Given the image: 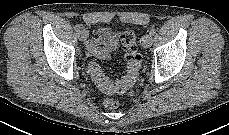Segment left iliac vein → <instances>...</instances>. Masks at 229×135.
Listing matches in <instances>:
<instances>
[{
  "label": "left iliac vein",
  "mask_w": 229,
  "mask_h": 135,
  "mask_svg": "<svg viewBox=\"0 0 229 135\" xmlns=\"http://www.w3.org/2000/svg\"><path fill=\"white\" fill-rule=\"evenodd\" d=\"M141 44L144 48H149L152 45V36L150 34L144 35Z\"/></svg>",
  "instance_id": "4c4485c4"
}]
</instances>
